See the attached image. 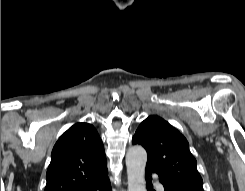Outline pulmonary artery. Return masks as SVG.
<instances>
[{"mask_svg":"<svg viewBox=\"0 0 245 191\" xmlns=\"http://www.w3.org/2000/svg\"><path fill=\"white\" fill-rule=\"evenodd\" d=\"M156 189L157 191H164V186L162 183H156Z\"/></svg>","mask_w":245,"mask_h":191,"instance_id":"1","label":"pulmonary artery"}]
</instances>
